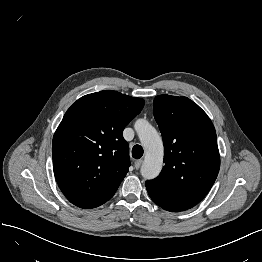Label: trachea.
I'll list each match as a JSON object with an SVG mask.
<instances>
[{"instance_id":"3493384b","label":"trachea","mask_w":262,"mask_h":262,"mask_svg":"<svg viewBox=\"0 0 262 262\" xmlns=\"http://www.w3.org/2000/svg\"><path fill=\"white\" fill-rule=\"evenodd\" d=\"M143 148L140 145H135L132 148V157L135 159H140L143 156Z\"/></svg>"}]
</instances>
